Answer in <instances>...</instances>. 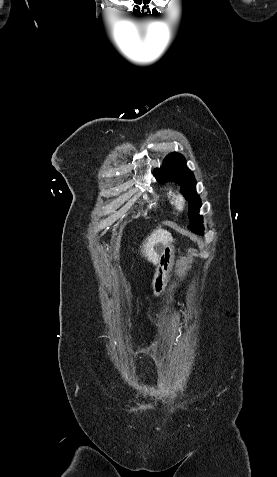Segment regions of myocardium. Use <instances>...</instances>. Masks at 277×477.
Here are the masks:
<instances>
[{"label": "myocardium", "mask_w": 277, "mask_h": 477, "mask_svg": "<svg viewBox=\"0 0 277 477\" xmlns=\"http://www.w3.org/2000/svg\"><path fill=\"white\" fill-rule=\"evenodd\" d=\"M175 204L178 207V209L182 210L184 209L186 205V200L182 195L178 194L175 196Z\"/></svg>", "instance_id": "obj_1"}]
</instances>
